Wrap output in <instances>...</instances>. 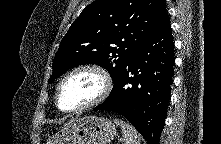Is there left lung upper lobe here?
I'll return each mask as SVG.
<instances>
[{"instance_id": "obj_1", "label": "left lung upper lobe", "mask_w": 221, "mask_h": 144, "mask_svg": "<svg viewBox=\"0 0 221 144\" xmlns=\"http://www.w3.org/2000/svg\"><path fill=\"white\" fill-rule=\"evenodd\" d=\"M166 15L163 0H97L84 8L61 41L51 83L67 70L97 64L113 83Z\"/></svg>"}]
</instances>
